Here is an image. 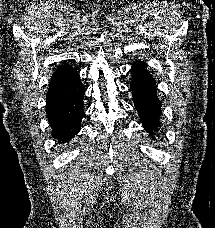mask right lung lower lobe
<instances>
[{"label":"right lung lower lobe","instance_id":"1","mask_svg":"<svg viewBox=\"0 0 215 228\" xmlns=\"http://www.w3.org/2000/svg\"><path fill=\"white\" fill-rule=\"evenodd\" d=\"M51 86H57V89L47 95L46 116L53 137L60 143H66L80 131L85 91L78 74L74 77H52Z\"/></svg>","mask_w":215,"mask_h":228}]
</instances>
